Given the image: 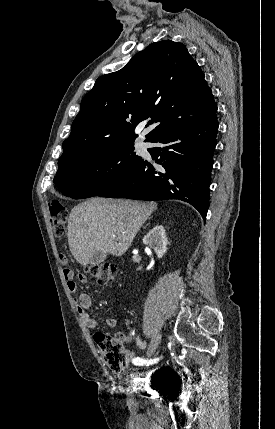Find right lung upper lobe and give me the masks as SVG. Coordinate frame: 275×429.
I'll use <instances>...</instances> for the list:
<instances>
[{
	"instance_id": "right-lung-upper-lobe-1",
	"label": "right lung upper lobe",
	"mask_w": 275,
	"mask_h": 429,
	"mask_svg": "<svg viewBox=\"0 0 275 429\" xmlns=\"http://www.w3.org/2000/svg\"><path fill=\"white\" fill-rule=\"evenodd\" d=\"M204 73L188 50L164 40L137 53L121 70L99 77L81 101L61 166L85 153L134 141L136 126L150 118L146 135L209 116L217 110Z\"/></svg>"
}]
</instances>
